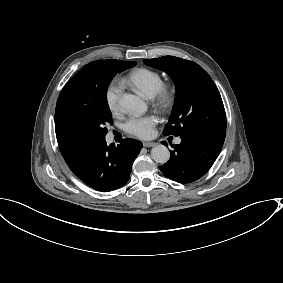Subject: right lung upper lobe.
<instances>
[{
    "instance_id": "obj_1",
    "label": "right lung upper lobe",
    "mask_w": 283,
    "mask_h": 283,
    "mask_svg": "<svg viewBox=\"0 0 283 283\" xmlns=\"http://www.w3.org/2000/svg\"><path fill=\"white\" fill-rule=\"evenodd\" d=\"M118 60H98L87 64L64 86L56 105L55 131L60 151L68 165L81 158L97 141L74 127L64 115L65 102L91 89L101 79L105 68Z\"/></svg>"
}]
</instances>
